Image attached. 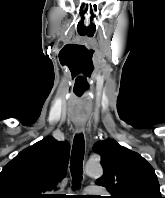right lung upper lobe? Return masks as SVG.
<instances>
[{"label":"right lung upper lobe","instance_id":"cb5924a9","mask_svg":"<svg viewBox=\"0 0 165 198\" xmlns=\"http://www.w3.org/2000/svg\"><path fill=\"white\" fill-rule=\"evenodd\" d=\"M69 145L51 136L21 151L0 173V198H45L66 175Z\"/></svg>","mask_w":165,"mask_h":198}]
</instances>
